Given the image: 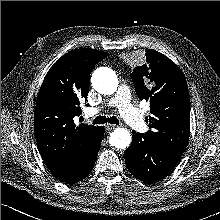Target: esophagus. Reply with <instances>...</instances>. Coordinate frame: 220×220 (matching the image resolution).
<instances>
[{
  "label": "esophagus",
  "instance_id": "esophagus-1",
  "mask_svg": "<svg viewBox=\"0 0 220 220\" xmlns=\"http://www.w3.org/2000/svg\"><path fill=\"white\" fill-rule=\"evenodd\" d=\"M116 127H117L116 125L107 124V125H106V130H107V131H111V130L115 129Z\"/></svg>",
  "mask_w": 220,
  "mask_h": 220
}]
</instances>
